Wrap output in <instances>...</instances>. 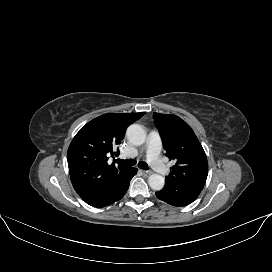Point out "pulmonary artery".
<instances>
[{
	"label": "pulmonary artery",
	"mask_w": 272,
	"mask_h": 272,
	"mask_svg": "<svg viewBox=\"0 0 272 272\" xmlns=\"http://www.w3.org/2000/svg\"><path fill=\"white\" fill-rule=\"evenodd\" d=\"M162 150V140L159 134L155 131H151L148 135L146 144L147 161L151 167H153L159 174L168 175L170 169L164 164L160 158Z\"/></svg>",
	"instance_id": "e3ab8cb5"
}]
</instances>
